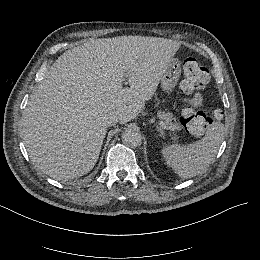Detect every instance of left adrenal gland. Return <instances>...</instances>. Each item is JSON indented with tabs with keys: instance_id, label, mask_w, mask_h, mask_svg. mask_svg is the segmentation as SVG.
Wrapping results in <instances>:
<instances>
[{
	"instance_id": "obj_1",
	"label": "left adrenal gland",
	"mask_w": 260,
	"mask_h": 260,
	"mask_svg": "<svg viewBox=\"0 0 260 260\" xmlns=\"http://www.w3.org/2000/svg\"><path fill=\"white\" fill-rule=\"evenodd\" d=\"M156 128H157V130L160 132V135H163V130H162V128H160L159 126H157Z\"/></svg>"
}]
</instances>
